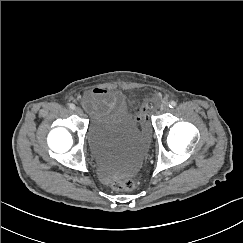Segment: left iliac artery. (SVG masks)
<instances>
[{
	"instance_id": "left-iliac-artery-1",
	"label": "left iliac artery",
	"mask_w": 243,
	"mask_h": 243,
	"mask_svg": "<svg viewBox=\"0 0 243 243\" xmlns=\"http://www.w3.org/2000/svg\"><path fill=\"white\" fill-rule=\"evenodd\" d=\"M176 105H177V103H176L175 101H171V102L169 103V107H170V108H174V107H176Z\"/></svg>"
}]
</instances>
